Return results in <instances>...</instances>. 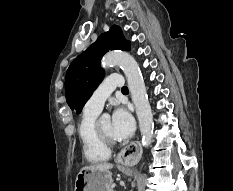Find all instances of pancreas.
Returning a JSON list of instances; mask_svg holds the SVG:
<instances>
[{
	"mask_svg": "<svg viewBox=\"0 0 233 191\" xmlns=\"http://www.w3.org/2000/svg\"><path fill=\"white\" fill-rule=\"evenodd\" d=\"M108 191H113V189H112V188H110Z\"/></svg>",
	"mask_w": 233,
	"mask_h": 191,
	"instance_id": "cf45deb5",
	"label": "pancreas"
}]
</instances>
